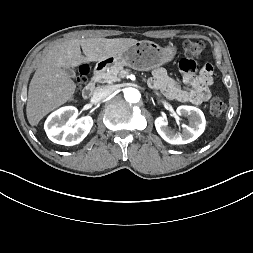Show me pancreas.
<instances>
[{"label": "pancreas", "instance_id": "pancreas-1", "mask_svg": "<svg viewBox=\"0 0 253 253\" xmlns=\"http://www.w3.org/2000/svg\"><path fill=\"white\" fill-rule=\"evenodd\" d=\"M123 70L122 66H112L107 72L101 74V78L106 83L119 82L122 78L121 71Z\"/></svg>", "mask_w": 253, "mask_h": 253}]
</instances>
